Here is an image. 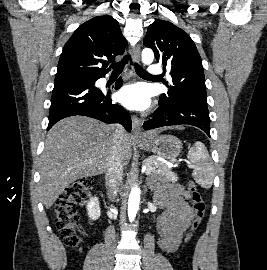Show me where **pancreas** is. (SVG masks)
Listing matches in <instances>:
<instances>
[{
    "instance_id": "obj_1",
    "label": "pancreas",
    "mask_w": 267,
    "mask_h": 270,
    "mask_svg": "<svg viewBox=\"0 0 267 270\" xmlns=\"http://www.w3.org/2000/svg\"><path fill=\"white\" fill-rule=\"evenodd\" d=\"M143 165L151 170L149 175H164L167 179L176 181V176L171 171V167L164 162L159 161L156 156H149L146 158L143 161Z\"/></svg>"
}]
</instances>
